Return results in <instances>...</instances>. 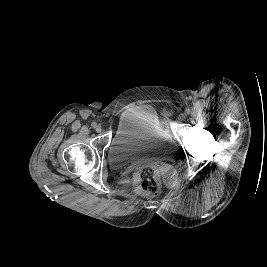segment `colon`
<instances>
[{"mask_svg":"<svg viewBox=\"0 0 267 267\" xmlns=\"http://www.w3.org/2000/svg\"><path fill=\"white\" fill-rule=\"evenodd\" d=\"M139 191L145 194H156L160 188L158 169L153 165L141 166L135 175Z\"/></svg>","mask_w":267,"mask_h":267,"instance_id":"colon-1","label":"colon"}]
</instances>
